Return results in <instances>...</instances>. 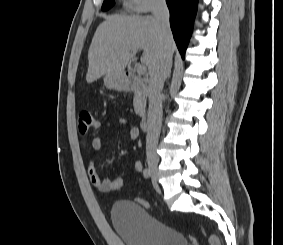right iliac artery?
Wrapping results in <instances>:
<instances>
[{"mask_svg": "<svg viewBox=\"0 0 283 245\" xmlns=\"http://www.w3.org/2000/svg\"><path fill=\"white\" fill-rule=\"evenodd\" d=\"M143 176L146 178V179H149L150 176H151V173H150V170L148 168H145L143 170Z\"/></svg>", "mask_w": 283, "mask_h": 245, "instance_id": "obj_1", "label": "right iliac artery"}]
</instances>
